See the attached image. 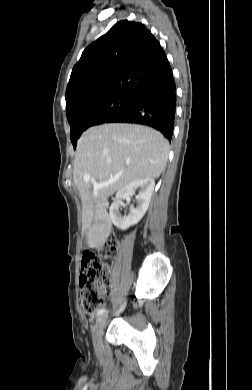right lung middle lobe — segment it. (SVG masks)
Segmentation results:
<instances>
[{"label": "right lung middle lobe", "instance_id": "obj_1", "mask_svg": "<svg viewBox=\"0 0 252 390\" xmlns=\"http://www.w3.org/2000/svg\"><path fill=\"white\" fill-rule=\"evenodd\" d=\"M133 100L134 95H111L77 106L67 113L71 127L70 138L74 148L77 140L87 128L105 123L126 110Z\"/></svg>", "mask_w": 252, "mask_h": 390}]
</instances>
